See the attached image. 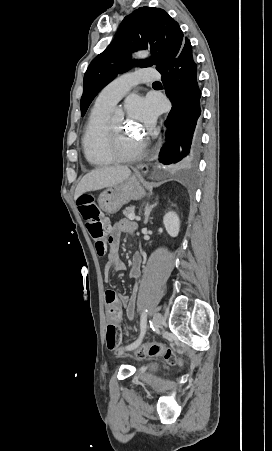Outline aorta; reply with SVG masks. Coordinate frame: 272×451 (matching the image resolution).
<instances>
[{
	"label": "aorta",
	"mask_w": 272,
	"mask_h": 451,
	"mask_svg": "<svg viewBox=\"0 0 272 451\" xmlns=\"http://www.w3.org/2000/svg\"><path fill=\"white\" fill-rule=\"evenodd\" d=\"M135 56L136 58H146V56H148V52H137Z\"/></svg>",
	"instance_id": "1"
}]
</instances>
